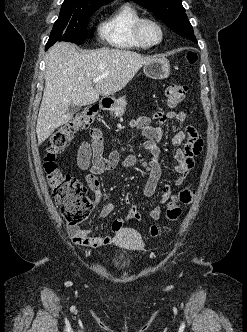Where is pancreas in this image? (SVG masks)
Wrapping results in <instances>:
<instances>
[{
  "instance_id": "cf45deb5",
  "label": "pancreas",
  "mask_w": 247,
  "mask_h": 332,
  "mask_svg": "<svg viewBox=\"0 0 247 332\" xmlns=\"http://www.w3.org/2000/svg\"><path fill=\"white\" fill-rule=\"evenodd\" d=\"M126 105H127V102H126L125 97H121L116 100V103L112 109V112H114L115 117H120L124 114Z\"/></svg>"
}]
</instances>
